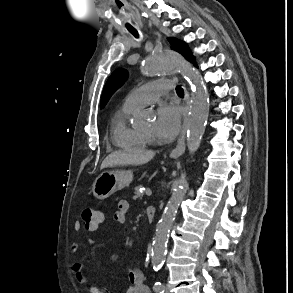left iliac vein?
<instances>
[{
  "label": "left iliac vein",
  "mask_w": 293,
  "mask_h": 293,
  "mask_svg": "<svg viewBox=\"0 0 293 293\" xmlns=\"http://www.w3.org/2000/svg\"><path fill=\"white\" fill-rule=\"evenodd\" d=\"M164 292H165V293H170V292H169V288H168L167 286L164 288Z\"/></svg>",
  "instance_id": "left-iliac-vein-1"
}]
</instances>
